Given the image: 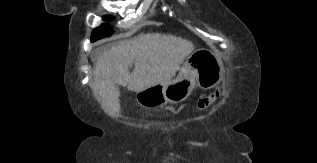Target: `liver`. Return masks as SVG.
Wrapping results in <instances>:
<instances>
[{"label":"liver","mask_w":317,"mask_h":163,"mask_svg":"<svg viewBox=\"0 0 317 163\" xmlns=\"http://www.w3.org/2000/svg\"><path fill=\"white\" fill-rule=\"evenodd\" d=\"M193 50L192 42L171 34L147 33L122 40L96 60L91 85L94 95L102 109L115 117L120 110L118 85L140 92L171 80Z\"/></svg>","instance_id":"liver-1"}]
</instances>
